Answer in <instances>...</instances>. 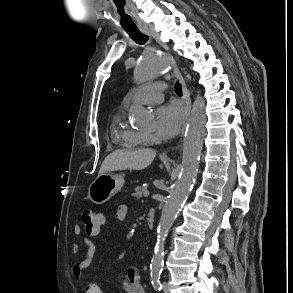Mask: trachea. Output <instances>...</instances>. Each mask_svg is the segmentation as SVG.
I'll return each mask as SVG.
<instances>
[{
	"label": "trachea",
	"instance_id": "trachea-1",
	"mask_svg": "<svg viewBox=\"0 0 293 293\" xmlns=\"http://www.w3.org/2000/svg\"><path fill=\"white\" fill-rule=\"evenodd\" d=\"M125 31L130 38L138 44H145L148 41V36L141 33L137 28L125 29ZM174 88L176 93H181V84H177Z\"/></svg>",
	"mask_w": 293,
	"mask_h": 293
}]
</instances>
